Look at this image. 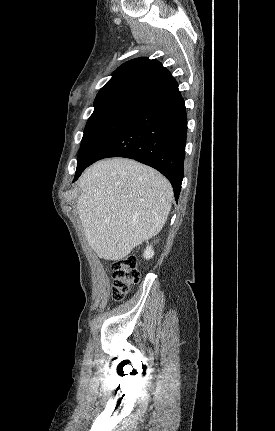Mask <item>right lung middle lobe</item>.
<instances>
[{"label":"right lung middle lobe","mask_w":275,"mask_h":431,"mask_svg":"<svg viewBox=\"0 0 275 431\" xmlns=\"http://www.w3.org/2000/svg\"><path fill=\"white\" fill-rule=\"evenodd\" d=\"M136 110L116 109L92 114L87 121L77 156V169L85 167Z\"/></svg>","instance_id":"dd1d6c3e"}]
</instances>
